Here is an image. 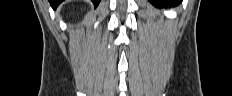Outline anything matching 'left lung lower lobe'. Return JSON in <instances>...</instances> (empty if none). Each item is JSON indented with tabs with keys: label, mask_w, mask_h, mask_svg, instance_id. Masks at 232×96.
Segmentation results:
<instances>
[{
	"label": "left lung lower lobe",
	"mask_w": 232,
	"mask_h": 96,
	"mask_svg": "<svg viewBox=\"0 0 232 96\" xmlns=\"http://www.w3.org/2000/svg\"><path fill=\"white\" fill-rule=\"evenodd\" d=\"M155 6H167L171 4H178L182 0H149Z\"/></svg>",
	"instance_id": "left-lung-lower-lobe-1"
}]
</instances>
